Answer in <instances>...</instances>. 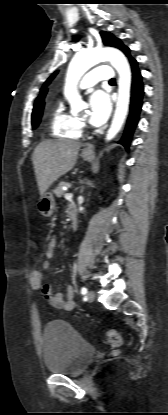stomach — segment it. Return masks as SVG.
<instances>
[{
	"instance_id": "1",
	"label": "stomach",
	"mask_w": 168,
	"mask_h": 415,
	"mask_svg": "<svg viewBox=\"0 0 168 415\" xmlns=\"http://www.w3.org/2000/svg\"><path fill=\"white\" fill-rule=\"evenodd\" d=\"M82 158L86 161L91 160L94 157V152L84 149L81 154ZM55 209V200L52 194L45 193L40 197L38 202V211L44 217L52 216Z\"/></svg>"
}]
</instances>
